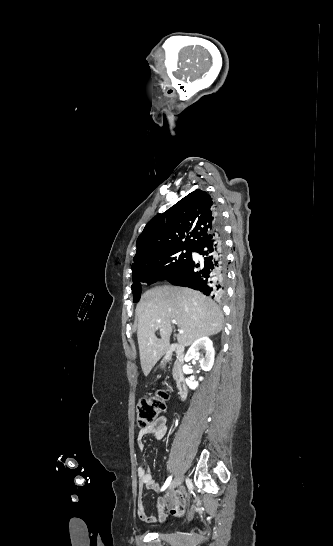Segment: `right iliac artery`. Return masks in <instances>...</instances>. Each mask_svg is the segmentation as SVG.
Returning a JSON list of instances; mask_svg holds the SVG:
<instances>
[{"instance_id": "obj_1", "label": "right iliac artery", "mask_w": 333, "mask_h": 546, "mask_svg": "<svg viewBox=\"0 0 333 546\" xmlns=\"http://www.w3.org/2000/svg\"><path fill=\"white\" fill-rule=\"evenodd\" d=\"M171 480H172V476H169L167 480L165 481L164 485L162 486L161 491H164L170 485Z\"/></svg>"}]
</instances>
